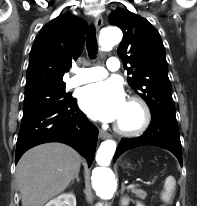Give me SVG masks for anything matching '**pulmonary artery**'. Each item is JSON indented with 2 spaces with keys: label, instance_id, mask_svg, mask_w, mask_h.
Segmentation results:
<instances>
[{
  "label": "pulmonary artery",
  "instance_id": "pulmonary-artery-1",
  "mask_svg": "<svg viewBox=\"0 0 197 206\" xmlns=\"http://www.w3.org/2000/svg\"><path fill=\"white\" fill-rule=\"evenodd\" d=\"M120 67L118 58L112 57L109 58L106 63V68L103 67H87V68H78L75 71V75L67 81V86L73 88L85 83H89L96 80H101L105 78L108 74V71H116Z\"/></svg>",
  "mask_w": 197,
  "mask_h": 206
}]
</instances>
